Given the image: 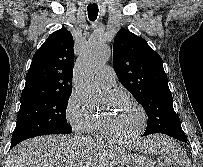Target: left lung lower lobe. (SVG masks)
<instances>
[{
  "instance_id": "1",
  "label": "left lung lower lobe",
  "mask_w": 203,
  "mask_h": 167,
  "mask_svg": "<svg viewBox=\"0 0 203 167\" xmlns=\"http://www.w3.org/2000/svg\"><path fill=\"white\" fill-rule=\"evenodd\" d=\"M143 136H145V135L143 134ZM169 136H172L173 138L183 141V142L187 141V138L184 135L173 134V135H169Z\"/></svg>"
}]
</instances>
